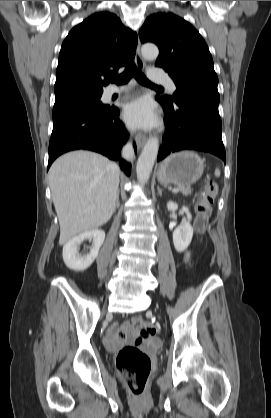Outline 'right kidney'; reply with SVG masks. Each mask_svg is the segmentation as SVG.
<instances>
[{"instance_id":"obj_1","label":"right kidney","mask_w":271,"mask_h":418,"mask_svg":"<svg viewBox=\"0 0 271 418\" xmlns=\"http://www.w3.org/2000/svg\"><path fill=\"white\" fill-rule=\"evenodd\" d=\"M91 240L92 246L90 252L86 255H80L79 245L84 240ZM105 239V232L100 229L89 230L79 234L69 240L63 247V260L69 269L83 271L91 266L98 256L99 249Z\"/></svg>"}]
</instances>
